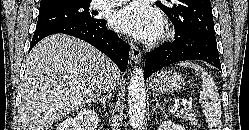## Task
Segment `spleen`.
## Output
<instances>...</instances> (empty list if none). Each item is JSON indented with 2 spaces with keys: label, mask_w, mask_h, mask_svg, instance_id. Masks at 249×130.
<instances>
[{
  "label": "spleen",
  "mask_w": 249,
  "mask_h": 130,
  "mask_svg": "<svg viewBox=\"0 0 249 130\" xmlns=\"http://www.w3.org/2000/svg\"><path fill=\"white\" fill-rule=\"evenodd\" d=\"M180 66L188 67L199 72L202 78V90L199 94V103L210 130H221V101L217 87L206 70L193 62H181Z\"/></svg>",
  "instance_id": "1"
}]
</instances>
